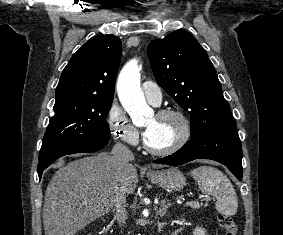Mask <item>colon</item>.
Wrapping results in <instances>:
<instances>
[{"label": "colon", "mask_w": 283, "mask_h": 235, "mask_svg": "<svg viewBox=\"0 0 283 235\" xmlns=\"http://www.w3.org/2000/svg\"><path fill=\"white\" fill-rule=\"evenodd\" d=\"M219 225L225 230V235H237L238 227L232 217L228 215L218 216Z\"/></svg>", "instance_id": "colon-1"}]
</instances>
